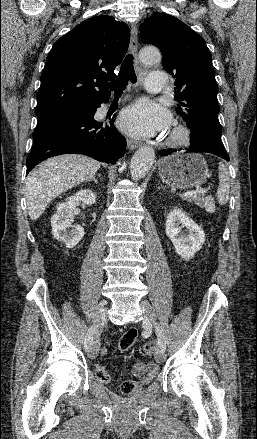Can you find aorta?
Returning a JSON list of instances; mask_svg holds the SVG:
<instances>
[{
  "mask_svg": "<svg viewBox=\"0 0 257 439\" xmlns=\"http://www.w3.org/2000/svg\"><path fill=\"white\" fill-rule=\"evenodd\" d=\"M140 58L145 64H154L160 60L161 54L156 48H144L140 51ZM154 159L155 152L151 147L143 146L137 150L130 164L131 177L135 180L145 177Z\"/></svg>",
  "mask_w": 257,
  "mask_h": 439,
  "instance_id": "1",
  "label": "aorta"
}]
</instances>
